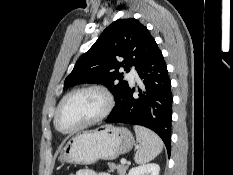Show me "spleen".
<instances>
[{"instance_id":"spleen-1","label":"spleen","mask_w":233,"mask_h":175,"mask_svg":"<svg viewBox=\"0 0 233 175\" xmlns=\"http://www.w3.org/2000/svg\"><path fill=\"white\" fill-rule=\"evenodd\" d=\"M134 131L140 145L134 157L137 164L147 163L160 154L163 142L155 132L137 125L134 126Z\"/></svg>"}]
</instances>
